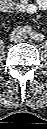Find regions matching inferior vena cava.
Masks as SVG:
<instances>
[{
	"label": "inferior vena cava",
	"instance_id": "602c4592",
	"mask_svg": "<svg viewBox=\"0 0 47 129\" xmlns=\"http://www.w3.org/2000/svg\"><path fill=\"white\" fill-rule=\"evenodd\" d=\"M16 40H21L22 39V36H20V35H16V38H15Z\"/></svg>",
	"mask_w": 47,
	"mask_h": 129
}]
</instances>
